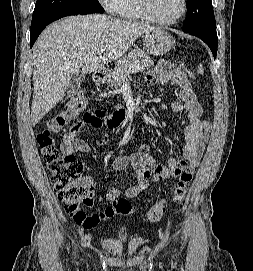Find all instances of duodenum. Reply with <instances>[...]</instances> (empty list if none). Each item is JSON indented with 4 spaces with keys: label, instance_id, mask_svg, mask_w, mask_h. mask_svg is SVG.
<instances>
[{
    "label": "duodenum",
    "instance_id": "duodenum-1",
    "mask_svg": "<svg viewBox=\"0 0 253 271\" xmlns=\"http://www.w3.org/2000/svg\"><path fill=\"white\" fill-rule=\"evenodd\" d=\"M106 80V73L104 71H97L94 74V82L96 85H102ZM127 120V111L125 109L116 110L111 118L110 123L113 126H120Z\"/></svg>",
    "mask_w": 253,
    "mask_h": 271
}]
</instances>
